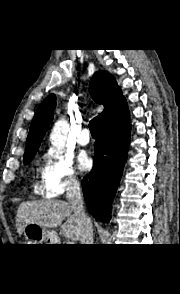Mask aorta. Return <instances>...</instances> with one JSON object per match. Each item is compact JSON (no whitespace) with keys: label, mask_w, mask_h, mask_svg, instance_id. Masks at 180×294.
I'll use <instances>...</instances> for the list:
<instances>
[{"label":"aorta","mask_w":180,"mask_h":294,"mask_svg":"<svg viewBox=\"0 0 180 294\" xmlns=\"http://www.w3.org/2000/svg\"><path fill=\"white\" fill-rule=\"evenodd\" d=\"M69 131L68 122L65 119L58 120L50 134V141L52 145L57 148H63L67 139V134Z\"/></svg>","instance_id":"obj_1"}]
</instances>
